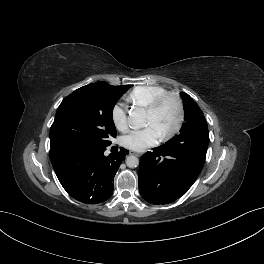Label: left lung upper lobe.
<instances>
[{
	"label": "left lung upper lobe",
	"mask_w": 264,
	"mask_h": 264,
	"mask_svg": "<svg viewBox=\"0 0 264 264\" xmlns=\"http://www.w3.org/2000/svg\"><path fill=\"white\" fill-rule=\"evenodd\" d=\"M184 103V120L180 134L171 139L166 145H176L184 141L185 138L197 136L200 132L208 129L206 119L197 103L186 93H181Z\"/></svg>",
	"instance_id": "left-lung-upper-lobe-1"
}]
</instances>
